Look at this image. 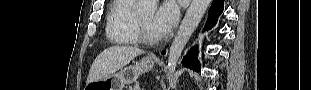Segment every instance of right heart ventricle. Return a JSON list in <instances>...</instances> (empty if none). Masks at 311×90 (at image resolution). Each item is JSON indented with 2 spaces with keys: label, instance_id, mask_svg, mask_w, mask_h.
<instances>
[{
  "label": "right heart ventricle",
  "instance_id": "1",
  "mask_svg": "<svg viewBox=\"0 0 311 90\" xmlns=\"http://www.w3.org/2000/svg\"><path fill=\"white\" fill-rule=\"evenodd\" d=\"M135 5V0H115L111 5L105 29L111 42L120 45L138 44Z\"/></svg>",
  "mask_w": 311,
  "mask_h": 90
}]
</instances>
